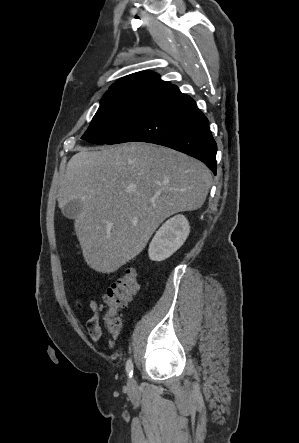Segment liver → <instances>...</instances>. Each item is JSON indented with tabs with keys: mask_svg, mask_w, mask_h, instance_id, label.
<instances>
[{
	"mask_svg": "<svg viewBox=\"0 0 299 443\" xmlns=\"http://www.w3.org/2000/svg\"><path fill=\"white\" fill-rule=\"evenodd\" d=\"M212 175L201 161L176 150L133 142L80 149L68 162L59 207L83 201L74 228L85 262L112 273L145 248L169 216L199 209Z\"/></svg>",
	"mask_w": 299,
	"mask_h": 443,
	"instance_id": "6515ba94",
	"label": "liver"
}]
</instances>
